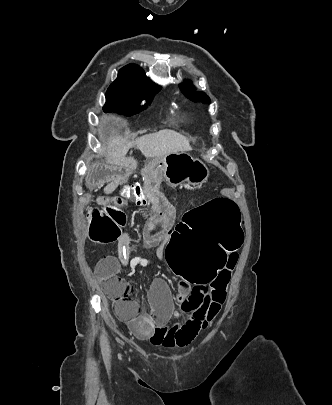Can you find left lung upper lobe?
I'll list each match as a JSON object with an SVG mask.
<instances>
[{"mask_svg":"<svg viewBox=\"0 0 332 405\" xmlns=\"http://www.w3.org/2000/svg\"><path fill=\"white\" fill-rule=\"evenodd\" d=\"M180 89L185 96L189 97L191 100L195 102L210 103V99L205 93L203 92L193 93L195 89L190 83L185 82L184 84H181Z\"/></svg>","mask_w":332,"mask_h":405,"instance_id":"left-lung-upper-lobe-1","label":"left lung upper lobe"}]
</instances>
